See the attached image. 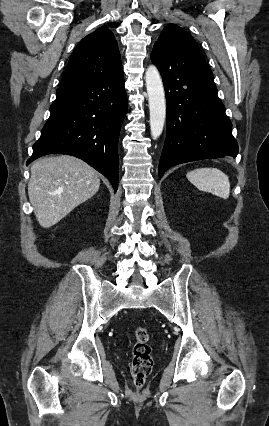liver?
Masks as SVG:
<instances>
[{
  "instance_id": "6515ba94",
  "label": "liver",
  "mask_w": 269,
  "mask_h": 426,
  "mask_svg": "<svg viewBox=\"0 0 269 426\" xmlns=\"http://www.w3.org/2000/svg\"><path fill=\"white\" fill-rule=\"evenodd\" d=\"M99 187L98 172L84 161L69 155L51 156L31 166L28 196L39 224L50 228Z\"/></svg>"
}]
</instances>
